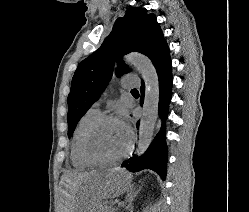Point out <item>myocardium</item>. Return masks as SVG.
<instances>
[{
	"mask_svg": "<svg viewBox=\"0 0 249 212\" xmlns=\"http://www.w3.org/2000/svg\"><path fill=\"white\" fill-rule=\"evenodd\" d=\"M105 122H118V123L123 124L127 128L129 132V137H130L129 144L126 150L121 155L110 160L97 159L91 154L89 150V142H90V138L92 134L101 124ZM133 145H134V133L132 129L128 125H126V123L123 120H121L119 117L114 116V115H99L85 128L81 136L79 150H80L81 157L89 165L98 166V167H107V166L115 165L119 163L120 161H122L124 158H126L132 151Z\"/></svg>",
	"mask_w": 249,
	"mask_h": 212,
	"instance_id": "f54148a6",
	"label": "myocardium"
}]
</instances>
